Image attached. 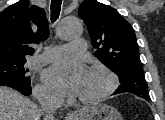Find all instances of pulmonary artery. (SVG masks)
<instances>
[{
  "mask_svg": "<svg viewBox=\"0 0 165 120\" xmlns=\"http://www.w3.org/2000/svg\"><path fill=\"white\" fill-rule=\"evenodd\" d=\"M85 52V42L75 40L67 45L50 46L45 48L43 54L41 55V60L45 62H54L72 54L81 55Z\"/></svg>",
  "mask_w": 165,
  "mask_h": 120,
  "instance_id": "pulmonary-artery-1",
  "label": "pulmonary artery"
}]
</instances>
